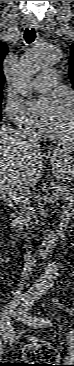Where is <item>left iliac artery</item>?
Listing matches in <instances>:
<instances>
[{
  "mask_svg": "<svg viewBox=\"0 0 74 366\" xmlns=\"http://www.w3.org/2000/svg\"><path fill=\"white\" fill-rule=\"evenodd\" d=\"M36 299L37 297L29 298L23 304V307L19 312V314L23 316L22 321L25 324L36 327H45L52 325V322L48 318H39L28 313V311L30 310L31 306L34 304Z\"/></svg>",
  "mask_w": 74,
  "mask_h": 366,
  "instance_id": "1",
  "label": "left iliac artery"
}]
</instances>
